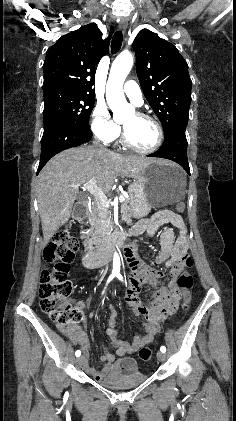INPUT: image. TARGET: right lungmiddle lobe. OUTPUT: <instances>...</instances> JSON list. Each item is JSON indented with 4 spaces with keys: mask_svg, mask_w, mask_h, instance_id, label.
I'll return each mask as SVG.
<instances>
[{
    "mask_svg": "<svg viewBox=\"0 0 236 421\" xmlns=\"http://www.w3.org/2000/svg\"><path fill=\"white\" fill-rule=\"evenodd\" d=\"M44 132L63 125L90 134L89 117L95 97L86 93L63 89H45Z\"/></svg>",
    "mask_w": 236,
    "mask_h": 421,
    "instance_id": "dd1d6c3e",
    "label": "right lung middle lobe"
}]
</instances>
